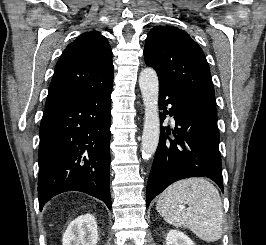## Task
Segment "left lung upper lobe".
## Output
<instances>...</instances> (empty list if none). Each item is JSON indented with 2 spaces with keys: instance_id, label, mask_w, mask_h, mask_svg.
<instances>
[{
  "instance_id": "obj_1",
  "label": "left lung upper lobe",
  "mask_w": 266,
  "mask_h": 245,
  "mask_svg": "<svg viewBox=\"0 0 266 245\" xmlns=\"http://www.w3.org/2000/svg\"><path fill=\"white\" fill-rule=\"evenodd\" d=\"M144 59L157 72L159 84L216 113L208 62L185 31L173 26L152 28L147 34Z\"/></svg>"
}]
</instances>
